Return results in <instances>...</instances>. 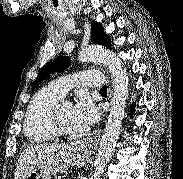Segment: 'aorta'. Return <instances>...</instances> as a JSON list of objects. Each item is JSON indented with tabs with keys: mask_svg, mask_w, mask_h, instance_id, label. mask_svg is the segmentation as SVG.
Returning a JSON list of instances; mask_svg holds the SVG:
<instances>
[{
	"mask_svg": "<svg viewBox=\"0 0 183 179\" xmlns=\"http://www.w3.org/2000/svg\"><path fill=\"white\" fill-rule=\"evenodd\" d=\"M80 62L100 61L108 67L113 76V97L110 114L100 141L95 169L90 179H101L105 166L108 163L119 136L122 120L125 114L126 101L129 94L128 75L121 59L112 51L99 47L89 46L78 54Z\"/></svg>",
	"mask_w": 183,
	"mask_h": 179,
	"instance_id": "762f6f07",
	"label": "aorta"
}]
</instances>
